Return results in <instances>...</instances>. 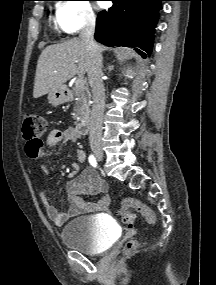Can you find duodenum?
Here are the masks:
<instances>
[{
    "label": "duodenum",
    "mask_w": 216,
    "mask_h": 285,
    "mask_svg": "<svg viewBox=\"0 0 216 285\" xmlns=\"http://www.w3.org/2000/svg\"><path fill=\"white\" fill-rule=\"evenodd\" d=\"M90 117L89 116H85L83 118H81V120L79 121L78 125H77V129L81 134H87L90 131Z\"/></svg>",
    "instance_id": "1"
}]
</instances>
